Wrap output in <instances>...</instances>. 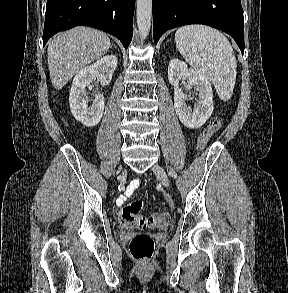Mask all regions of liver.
I'll use <instances>...</instances> for the list:
<instances>
[{"instance_id": "obj_1", "label": "liver", "mask_w": 288, "mask_h": 293, "mask_svg": "<svg viewBox=\"0 0 288 293\" xmlns=\"http://www.w3.org/2000/svg\"><path fill=\"white\" fill-rule=\"evenodd\" d=\"M109 48V37L88 27L78 26L55 35L47 49L48 68L54 88H63L75 74L100 59Z\"/></svg>"}]
</instances>
